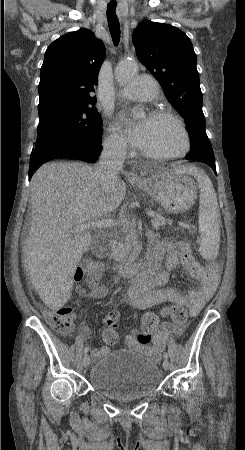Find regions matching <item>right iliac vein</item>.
Here are the masks:
<instances>
[{"mask_svg": "<svg viewBox=\"0 0 245 450\" xmlns=\"http://www.w3.org/2000/svg\"><path fill=\"white\" fill-rule=\"evenodd\" d=\"M82 362H83V366L87 367L89 365V363H90V356H88V355L84 356Z\"/></svg>", "mask_w": 245, "mask_h": 450, "instance_id": "63e3f726", "label": "right iliac vein"}]
</instances>
